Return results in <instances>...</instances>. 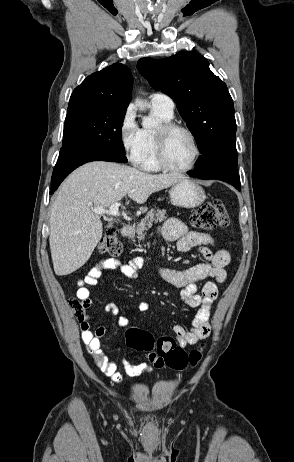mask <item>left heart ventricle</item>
<instances>
[{
	"instance_id": "left-heart-ventricle-1",
	"label": "left heart ventricle",
	"mask_w": 294,
	"mask_h": 462,
	"mask_svg": "<svg viewBox=\"0 0 294 462\" xmlns=\"http://www.w3.org/2000/svg\"><path fill=\"white\" fill-rule=\"evenodd\" d=\"M194 155V146L190 137L183 131L173 132L167 142V160L176 168L186 167Z\"/></svg>"
}]
</instances>
